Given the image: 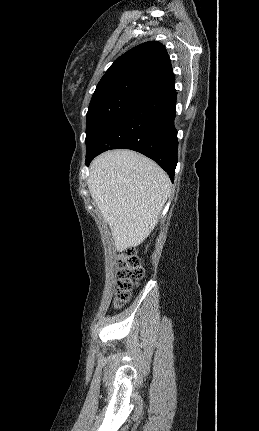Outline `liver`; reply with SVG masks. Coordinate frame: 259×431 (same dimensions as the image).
<instances>
[{
    "mask_svg": "<svg viewBox=\"0 0 259 431\" xmlns=\"http://www.w3.org/2000/svg\"><path fill=\"white\" fill-rule=\"evenodd\" d=\"M88 189L117 251L139 245L156 226L170 193L166 172L130 150L107 151L90 165Z\"/></svg>",
    "mask_w": 259,
    "mask_h": 431,
    "instance_id": "6515ba94",
    "label": "liver"
}]
</instances>
